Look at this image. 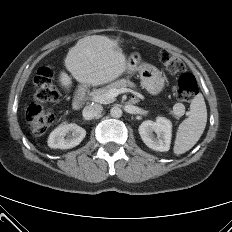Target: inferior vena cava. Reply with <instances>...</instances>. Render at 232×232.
I'll use <instances>...</instances> for the list:
<instances>
[{
    "label": "inferior vena cava",
    "mask_w": 232,
    "mask_h": 232,
    "mask_svg": "<svg viewBox=\"0 0 232 232\" xmlns=\"http://www.w3.org/2000/svg\"><path fill=\"white\" fill-rule=\"evenodd\" d=\"M103 107L99 104L89 105L83 110V118L85 120H91L102 113Z\"/></svg>",
    "instance_id": "602c4592"
}]
</instances>
